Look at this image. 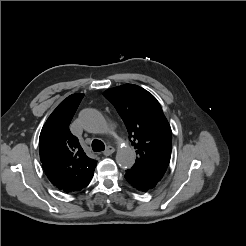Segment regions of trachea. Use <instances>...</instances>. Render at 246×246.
Returning <instances> with one entry per match:
<instances>
[{"instance_id":"1","label":"trachea","mask_w":246,"mask_h":246,"mask_svg":"<svg viewBox=\"0 0 246 246\" xmlns=\"http://www.w3.org/2000/svg\"><path fill=\"white\" fill-rule=\"evenodd\" d=\"M92 149L94 152H100L105 149V145L101 140L94 139L92 141Z\"/></svg>"}]
</instances>
